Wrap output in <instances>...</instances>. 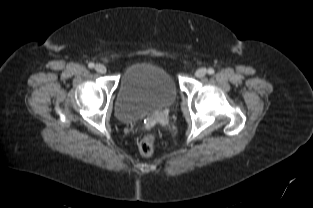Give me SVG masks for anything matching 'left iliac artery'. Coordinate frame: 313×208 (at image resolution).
<instances>
[{"label": "left iliac artery", "instance_id": "left-iliac-artery-1", "mask_svg": "<svg viewBox=\"0 0 313 208\" xmlns=\"http://www.w3.org/2000/svg\"><path fill=\"white\" fill-rule=\"evenodd\" d=\"M214 72H215V71H214L213 68H209V69H208V73H209L210 75L214 74Z\"/></svg>", "mask_w": 313, "mask_h": 208}]
</instances>
